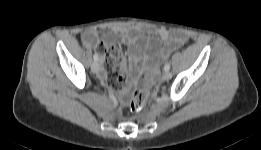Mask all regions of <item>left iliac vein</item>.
Returning a JSON list of instances; mask_svg holds the SVG:
<instances>
[{
  "label": "left iliac vein",
  "instance_id": "obj_1",
  "mask_svg": "<svg viewBox=\"0 0 261 150\" xmlns=\"http://www.w3.org/2000/svg\"><path fill=\"white\" fill-rule=\"evenodd\" d=\"M171 78H172V73L169 72V71H166V72L164 73L163 79H164V80H170Z\"/></svg>",
  "mask_w": 261,
  "mask_h": 150
}]
</instances>
